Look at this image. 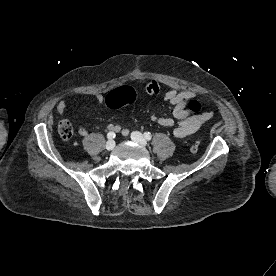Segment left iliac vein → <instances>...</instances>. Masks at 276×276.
I'll list each match as a JSON object with an SVG mask.
<instances>
[{"label": "left iliac vein", "mask_w": 276, "mask_h": 276, "mask_svg": "<svg viewBox=\"0 0 276 276\" xmlns=\"http://www.w3.org/2000/svg\"><path fill=\"white\" fill-rule=\"evenodd\" d=\"M131 139H132L134 142H136V143H138V144H140V145H142V146H146V145H147L146 139H145L144 136H143L140 132H138V131H133V132L131 133Z\"/></svg>", "instance_id": "obj_1"}]
</instances>
